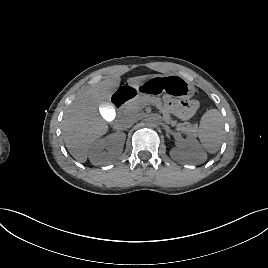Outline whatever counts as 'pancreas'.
Segmentation results:
<instances>
[{
  "mask_svg": "<svg viewBox=\"0 0 268 268\" xmlns=\"http://www.w3.org/2000/svg\"><path fill=\"white\" fill-rule=\"evenodd\" d=\"M152 104L159 108L160 112L163 114V119L167 124H170L172 127H175L177 131L183 132L187 135H195L197 132V124L192 125L189 122L180 123L177 120H174L170 114L163 108L162 103L159 98L149 95H140L135 99L129 101L125 106V112L138 113L146 105Z\"/></svg>",
  "mask_w": 268,
  "mask_h": 268,
  "instance_id": "cf45deb5",
  "label": "pancreas"
}]
</instances>
